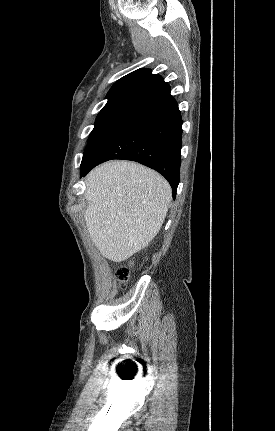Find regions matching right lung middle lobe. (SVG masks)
Masks as SVG:
<instances>
[{"label":"right lung middle lobe","mask_w":275,"mask_h":431,"mask_svg":"<svg viewBox=\"0 0 275 431\" xmlns=\"http://www.w3.org/2000/svg\"><path fill=\"white\" fill-rule=\"evenodd\" d=\"M134 113V111L120 110L98 114L95 127L90 133L89 142L83 154L81 168L87 166L93 160Z\"/></svg>","instance_id":"right-lung-middle-lobe-1"}]
</instances>
